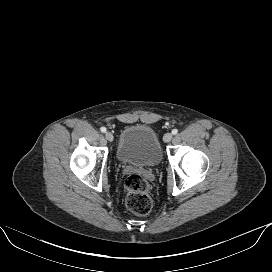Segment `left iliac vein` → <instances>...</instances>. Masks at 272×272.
<instances>
[{
  "label": "left iliac vein",
  "mask_w": 272,
  "mask_h": 272,
  "mask_svg": "<svg viewBox=\"0 0 272 272\" xmlns=\"http://www.w3.org/2000/svg\"><path fill=\"white\" fill-rule=\"evenodd\" d=\"M172 134L171 133H166L165 135H164V137H163V140H164V142H170L171 141V139H172Z\"/></svg>",
  "instance_id": "obj_1"
}]
</instances>
